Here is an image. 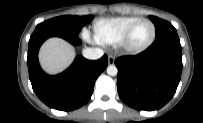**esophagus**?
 <instances>
[{
  "instance_id": "obj_1",
  "label": "esophagus",
  "mask_w": 203,
  "mask_h": 123,
  "mask_svg": "<svg viewBox=\"0 0 203 123\" xmlns=\"http://www.w3.org/2000/svg\"><path fill=\"white\" fill-rule=\"evenodd\" d=\"M114 62H115V58H114V56L109 55V56H108V64H109V65H113Z\"/></svg>"
}]
</instances>
